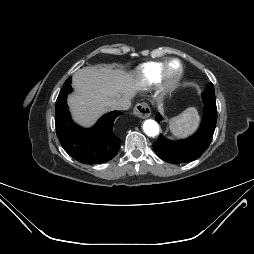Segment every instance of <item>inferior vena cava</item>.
I'll list each match as a JSON object with an SVG mask.
<instances>
[{
  "mask_svg": "<svg viewBox=\"0 0 254 254\" xmlns=\"http://www.w3.org/2000/svg\"><path fill=\"white\" fill-rule=\"evenodd\" d=\"M130 100H121L114 102L112 104V108L115 110H127L130 107Z\"/></svg>",
  "mask_w": 254,
  "mask_h": 254,
  "instance_id": "inferior-vena-cava-1",
  "label": "inferior vena cava"
}]
</instances>
